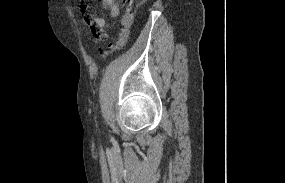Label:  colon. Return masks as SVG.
I'll use <instances>...</instances> for the list:
<instances>
[{
  "instance_id": "1",
  "label": "colon",
  "mask_w": 285,
  "mask_h": 183,
  "mask_svg": "<svg viewBox=\"0 0 285 183\" xmlns=\"http://www.w3.org/2000/svg\"><path fill=\"white\" fill-rule=\"evenodd\" d=\"M132 2V0H122V3L125 6V12L122 18V31L120 34V38L117 42L109 44L106 49L100 50V55L103 58H107L111 54L120 51L127 42L134 19V9L132 6Z\"/></svg>"
}]
</instances>
